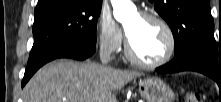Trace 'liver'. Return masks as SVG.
Returning <instances> with one entry per match:
<instances>
[{
    "mask_svg": "<svg viewBox=\"0 0 221 102\" xmlns=\"http://www.w3.org/2000/svg\"><path fill=\"white\" fill-rule=\"evenodd\" d=\"M141 75L92 62L55 60L29 80L23 102H117L116 93Z\"/></svg>",
    "mask_w": 221,
    "mask_h": 102,
    "instance_id": "obj_1",
    "label": "liver"
}]
</instances>
